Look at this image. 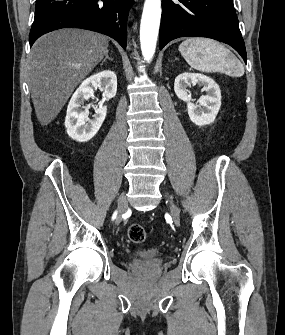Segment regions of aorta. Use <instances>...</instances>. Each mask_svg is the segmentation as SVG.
Returning <instances> with one entry per match:
<instances>
[{
    "label": "aorta",
    "mask_w": 285,
    "mask_h": 335,
    "mask_svg": "<svg viewBox=\"0 0 285 335\" xmlns=\"http://www.w3.org/2000/svg\"><path fill=\"white\" fill-rule=\"evenodd\" d=\"M161 18V0H145L141 28V52L146 62H151L157 44Z\"/></svg>",
    "instance_id": "aorta-1"
}]
</instances>
